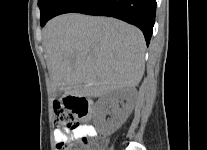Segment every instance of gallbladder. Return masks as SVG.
I'll list each match as a JSON object with an SVG mask.
<instances>
[{
    "label": "gallbladder",
    "instance_id": "1",
    "mask_svg": "<svg viewBox=\"0 0 207 150\" xmlns=\"http://www.w3.org/2000/svg\"><path fill=\"white\" fill-rule=\"evenodd\" d=\"M62 91L60 89L57 90V94L60 95Z\"/></svg>",
    "mask_w": 207,
    "mask_h": 150
}]
</instances>
